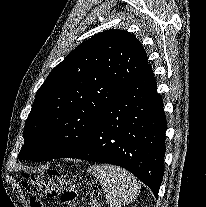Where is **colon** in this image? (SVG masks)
I'll return each instance as SVG.
<instances>
[{
    "label": "colon",
    "instance_id": "1",
    "mask_svg": "<svg viewBox=\"0 0 206 207\" xmlns=\"http://www.w3.org/2000/svg\"><path fill=\"white\" fill-rule=\"evenodd\" d=\"M23 185L31 195L32 207H42V198L59 199L63 207H77L79 195L73 183L56 170L24 174Z\"/></svg>",
    "mask_w": 206,
    "mask_h": 207
}]
</instances>
